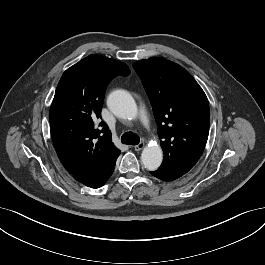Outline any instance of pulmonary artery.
Returning a JSON list of instances; mask_svg holds the SVG:
<instances>
[{"label": "pulmonary artery", "mask_w": 265, "mask_h": 265, "mask_svg": "<svg viewBox=\"0 0 265 265\" xmlns=\"http://www.w3.org/2000/svg\"><path fill=\"white\" fill-rule=\"evenodd\" d=\"M141 112L144 114V108L141 106Z\"/></svg>", "instance_id": "1"}]
</instances>
